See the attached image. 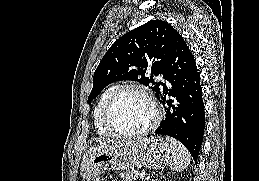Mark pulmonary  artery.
<instances>
[{"label": "pulmonary artery", "mask_w": 259, "mask_h": 181, "mask_svg": "<svg viewBox=\"0 0 259 181\" xmlns=\"http://www.w3.org/2000/svg\"><path fill=\"white\" fill-rule=\"evenodd\" d=\"M157 78H158L159 80H161V81H163V80H164V78H163V76H162V75H159Z\"/></svg>", "instance_id": "1"}]
</instances>
